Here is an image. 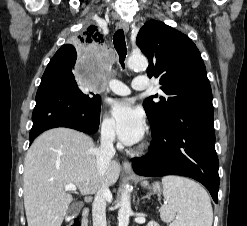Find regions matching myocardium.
Listing matches in <instances>:
<instances>
[{
  "label": "myocardium",
  "instance_id": "myocardium-1",
  "mask_svg": "<svg viewBox=\"0 0 247 226\" xmlns=\"http://www.w3.org/2000/svg\"><path fill=\"white\" fill-rule=\"evenodd\" d=\"M150 147V141L149 140H144L141 144H139L135 149L134 152L137 154H142L148 151Z\"/></svg>",
  "mask_w": 247,
  "mask_h": 226
}]
</instances>
